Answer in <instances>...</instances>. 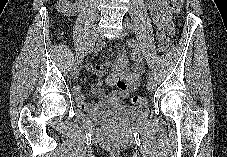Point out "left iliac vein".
Instances as JSON below:
<instances>
[{"instance_id":"4c4485c4","label":"left iliac vein","mask_w":227,"mask_h":157,"mask_svg":"<svg viewBox=\"0 0 227 157\" xmlns=\"http://www.w3.org/2000/svg\"><path fill=\"white\" fill-rule=\"evenodd\" d=\"M127 24H128V21H126L125 23H124V27L125 28H127ZM126 35V30L124 29L121 33H120V36H118V38L119 37H123V36H125ZM155 82L152 80V79H150V80H148L147 81V89H148V91H150V92H152V91H154L155 90Z\"/></svg>"}]
</instances>
